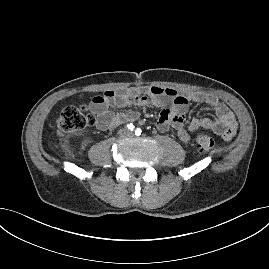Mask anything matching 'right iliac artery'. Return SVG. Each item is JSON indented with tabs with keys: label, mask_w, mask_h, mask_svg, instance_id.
<instances>
[{
	"label": "right iliac artery",
	"mask_w": 269,
	"mask_h": 269,
	"mask_svg": "<svg viewBox=\"0 0 269 269\" xmlns=\"http://www.w3.org/2000/svg\"><path fill=\"white\" fill-rule=\"evenodd\" d=\"M126 128H127L128 130H130V131H133L134 128H135V126H134L132 123H130V124H127V125H126Z\"/></svg>",
	"instance_id": "obj_1"
}]
</instances>
